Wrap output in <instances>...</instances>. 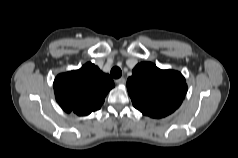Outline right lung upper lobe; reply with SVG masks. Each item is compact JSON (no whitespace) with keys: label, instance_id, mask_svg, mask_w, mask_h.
<instances>
[{"label":"right lung upper lobe","instance_id":"obj_1","mask_svg":"<svg viewBox=\"0 0 238 158\" xmlns=\"http://www.w3.org/2000/svg\"><path fill=\"white\" fill-rule=\"evenodd\" d=\"M114 86L111 77L90 62L78 70L59 74L53 84L61 108L79 116L100 109L105 96Z\"/></svg>","mask_w":238,"mask_h":158}]
</instances>
